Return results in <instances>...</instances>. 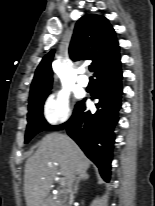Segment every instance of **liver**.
Instances as JSON below:
<instances>
[{"instance_id":"liver-1","label":"liver","mask_w":155,"mask_h":206,"mask_svg":"<svg viewBox=\"0 0 155 206\" xmlns=\"http://www.w3.org/2000/svg\"><path fill=\"white\" fill-rule=\"evenodd\" d=\"M90 167V161L67 135H46L25 165L24 193L27 206H40L50 192L59 171L66 187H72L76 175Z\"/></svg>"}]
</instances>
